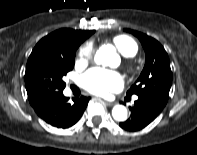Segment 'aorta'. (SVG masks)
<instances>
[{
  "mask_svg": "<svg viewBox=\"0 0 197 155\" xmlns=\"http://www.w3.org/2000/svg\"><path fill=\"white\" fill-rule=\"evenodd\" d=\"M116 57L115 49L110 45H104L97 50L94 60L97 64L109 65L111 60ZM112 116L116 121H125L128 116L127 108L123 105L114 106Z\"/></svg>",
  "mask_w": 197,
  "mask_h": 155,
  "instance_id": "aorta-1",
  "label": "aorta"
}]
</instances>
